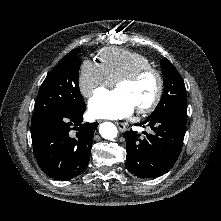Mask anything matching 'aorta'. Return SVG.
<instances>
[{
    "mask_svg": "<svg viewBox=\"0 0 221 221\" xmlns=\"http://www.w3.org/2000/svg\"><path fill=\"white\" fill-rule=\"evenodd\" d=\"M99 132L104 139L112 140L117 136V128L111 122H104L100 125Z\"/></svg>",
    "mask_w": 221,
    "mask_h": 221,
    "instance_id": "aorta-1",
    "label": "aorta"
}]
</instances>
